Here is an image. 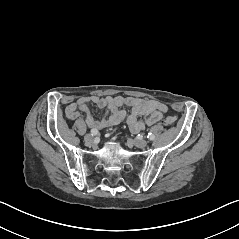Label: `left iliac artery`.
<instances>
[{
	"instance_id": "obj_1",
	"label": "left iliac artery",
	"mask_w": 239,
	"mask_h": 239,
	"mask_svg": "<svg viewBox=\"0 0 239 239\" xmlns=\"http://www.w3.org/2000/svg\"><path fill=\"white\" fill-rule=\"evenodd\" d=\"M147 138H148L149 140H154V139H155V135L152 134V133H148Z\"/></svg>"
}]
</instances>
